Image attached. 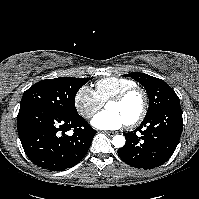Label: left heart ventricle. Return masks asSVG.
<instances>
[{
    "label": "left heart ventricle",
    "instance_id": "obj_1",
    "mask_svg": "<svg viewBox=\"0 0 199 199\" xmlns=\"http://www.w3.org/2000/svg\"><path fill=\"white\" fill-rule=\"evenodd\" d=\"M142 107V97L139 93H133L120 103H108L106 108L122 116L127 122L133 120L140 112Z\"/></svg>",
    "mask_w": 199,
    "mask_h": 199
}]
</instances>
